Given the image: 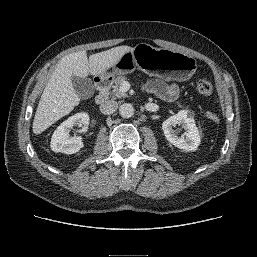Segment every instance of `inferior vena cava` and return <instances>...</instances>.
Wrapping results in <instances>:
<instances>
[{
    "label": "inferior vena cava",
    "mask_w": 257,
    "mask_h": 257,
    "mask_svg": "<svg viewBox=\"0 0 257 257\" xmlns=\"http://www.w3.org/2000/svg\"><path fill=\"white\" fill-rule=\"evenodd\" d=\"M118 108V103L113 100H107L100 105V111L105 115L113 114Z\"/></svg>",
    "instance_id": "obj_1"
}]
</instances>
